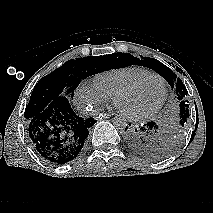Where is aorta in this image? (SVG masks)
I'll list each match as a JSON object with an SVG mask.
<instances>
[{
  "mask_svg": "<svg viewBox=\"0 0 213 213\" xmlns=\"http://www.w3.org/2000/svg\"><path fill=\"white\" fill-rule=\"evenodd\" d=\"M113 125L116 129L123 132L128 126V122L126 117H124L123 115H117L113 118Z\"/></svg>",
  "mask_w": 213,
  "mask_h": 213,
  "instance_id": "obj_1",
  "label": "aorta"
}]
</instances>
